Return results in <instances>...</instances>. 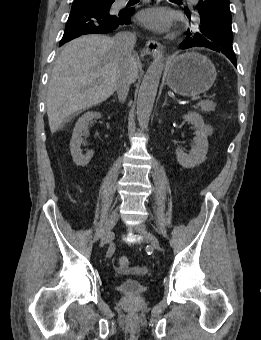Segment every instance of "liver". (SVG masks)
I'll list each match as a JSON object with an SVG mask.
<instances>
[{
	"instance_id": "liver-1",
	"label": "liver",
	"mask_w": 261,
	"mask_h": 340,
	"mask_svg": "<svg viewBox=\"0 0 261 340\" xmlns=\"http://www.w3.org/2000/svg\"><path fill=\"white\" fill-rule=\"evenodd\" d=\"M125 71L134 82L138 62L133 56L122 58L111 37L85 35L69 42L56 60L48 84L46 105L51 132H56L71 115L108 99Z\"/></svg>"
}]
</instances>
